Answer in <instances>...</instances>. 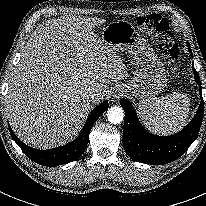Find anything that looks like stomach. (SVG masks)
<instances>
[{
	"label": "stomach",
	"instance_id": "obj_1",
	"mask_svg": "<svg viewBox=\"0 0 206 206\" xmlns=\"http://www.w3.org/2000/svg\"><path fill=\"white\" fill-rule=\"evenodd\" d=\"M101 39L113 50L131 54L135 60V71L127 83L123 84L131 98L152 99L166 86L167 75L164 64L146 39L127 20H117L108 24L101 33Z\"/></svg>",
	"mask_w": 206,
	"mask_h": 206
}]
</instances>
